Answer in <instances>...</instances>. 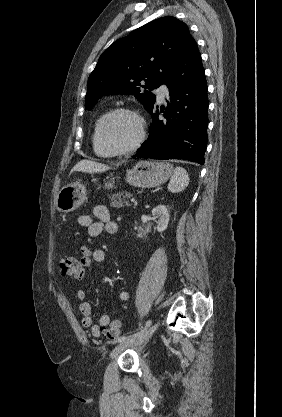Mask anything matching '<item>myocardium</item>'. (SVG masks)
<instances>
[{"mask_svg":"<svg viewBox=\"0 0 282 417\" xmlns=\"http://www.w3.org/2000/svg\"><path fill=\"white\" fill-rule=\"evenodd\" d=\"M121 115L129 116L136 120L138 124V135L135 138V140H133L131 143L119 147H114L110 145V143L108 142V128L113 119ZM145 137L146 126L144 119L137 112L129 109L118 108L111 111L109 114L106 115V117L103 119L100 125V144L108 154H120L131 151L139 147L144 141Z\"/></svg>","mask_w":282,"mask_h":417,"instance_id":"myocardium-1","label":"myocardium"}]
</instances>
